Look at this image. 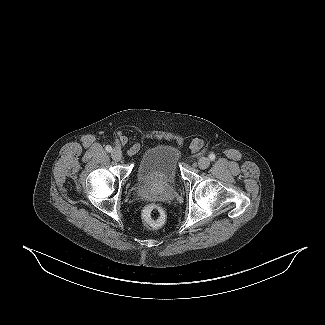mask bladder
<instances>
[{
	"mask_svg": "<svg viewBox=\"0 0 325 325\" xmlns=\"http://www.w3.org/2000/svg\"><path fill=\"white\" fill-rule=\"evenodd\" d=\"M180 153L169 144L153 146L140 159L136 177L146 185L169 186L178 178Z\"/></svg>",
	"mask_w": 325,
	"mask_h": 325,
	"instance_id": "obj_1",
	"label": "bladder"
}]
</instances>
